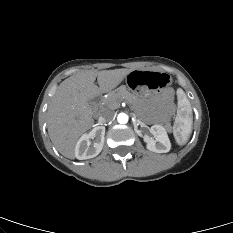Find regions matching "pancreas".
<instances>
[{"mask_svg":"<svg viewBox=\"0 0 233 233\" xmlns=\"http://www.w3.org/2000/svg\"><path fill=\"white\" fill-rule=\"evenodd\" d=\"M121 100L134 103L136 97L130 93L125 86H120L118 89L108 94V97L105 99L104 103L108 109H116Z\"/></svg>","mask_w":233,"mask_h":233,"instance_id":"pancreas-1","label":"pancreas"}]
</instances>
